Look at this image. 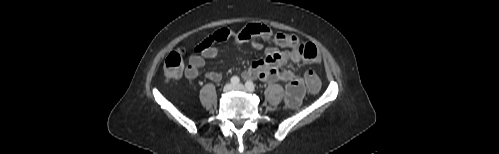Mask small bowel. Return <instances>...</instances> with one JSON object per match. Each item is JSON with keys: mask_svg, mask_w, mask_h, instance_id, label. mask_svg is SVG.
I'll use <instances>...</instances> for the list:
<instances>
[{"mask_svg": "<svg viewBox=\"0 0 499 154\" xmlns=\"http://www.w3.org/2000/svg\"><path fill=\"white\" fill-rule=\"evenodd\" d=\"M229 39L235 45L249 43L257 49H263L265 43H271L273 46L265 48V58L254 61L242 72V77L260 79L267 83L285 82L287 84L285 104L292 109L301 104L305 93L303 79L285 68V64L288 62L317 64L321 60L320 53L314 44L301 42L292 34H274L263 24H249L239 31L220 29L214 32L196 46L195 53L190 57L189 65L185 69V76L191 80L198 78L206 60L215 58L219 51L218 45ZM205 77L213 82H219L222 74L208 71Z\"/></svg>", "mask_w": 499, "mask_h": 154, "instance_id": "c3829d8e", "label": "small bowel"}]
</instances>
